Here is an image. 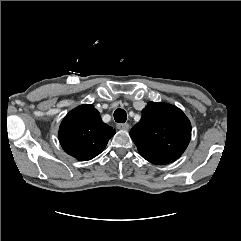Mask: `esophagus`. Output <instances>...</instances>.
Instances as JSON below:
<instances>
[{
    "mask_svg": "<svg viewBox=\"0 0 241 241\" xmlns=\"http://www.w3.org/2000/svg\"><path fill=\"white\" fill-rule=\"evenodd\" d=\"M116 126L119 130H128L129 129L128 123H118Z\"/></svg>",
    "mask_w": 241,
    "mask_h": 241,
    "instance_id": "esophagus-1",
    "label": "esophagus"
}]
</instances>
